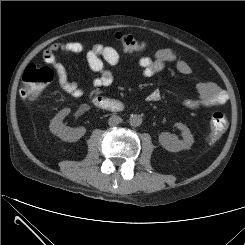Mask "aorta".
Wrapping results in <instances>:
<instances>
[{
	"label": "aorta",
	"instance_id": "1",
	"mask_svg": "<svg viewBox=\"0 0 245 245\" xmlns=\"http://www.w3.org/2000/svg\"><path fill=\"white\" fill-rule=\"evenodd\" d=\"M129 124L134 127L140 126L142 124V117L137 114L130 115Z\"/></svg>",
	"mask_w": 245,
	"mask_h": 245
}]
</instances>
